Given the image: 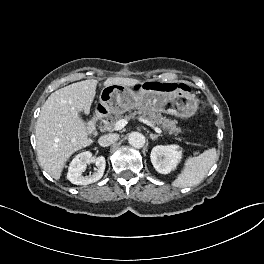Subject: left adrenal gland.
<instances>
[{
	"instance_id": "left-adrenal-gland-1",
	"label": "left adrenal gland",
	"mask_w": 264,
	"mask_h": 264,
	"mask_svg": "<svg viewBox=\"0 0 264 264\" xmlns=\"http://www.w3.org/2000/svg\"><path fill=\"white\" fill-rule=\"evenodd\" d=\"M161 135H157V134H153V133H150V138L152 140H156L158 137H160Z\"/></svg>"
}]
</instances>
